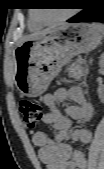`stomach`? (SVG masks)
Here are the masks:
<instances>
[{
  "label": "stomach",
  "instance_id": "obj_1",
  "mask_svg": "<svg viewBox=\"0 0 104 169\" xmlns=\"http://www.w3.org/2000/svg\"><path fill=\"white\" fill-rule=\"evenodd\" d=\"M102 39L99 25L77 23L61 25L23 41L15 51L16 88L24 96L41 95L71 58L93 50Z\"/></svg>",
  "mask_w": 104,
  "mask_h": 169
}]
</instances>
